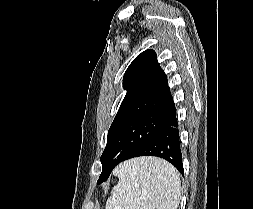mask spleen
I'll list each match as a JSON object with an SVG mask.
<instances>
[{"mask_svg":"<svg viewBox=\"0 0 253 209\" xmlns=\"http://www.w3.org/2000/svg\"><path fill=\"white\" fill-rule=\"evenodd\" d=\"M119 178L106 209H177L181 183L177 170L165 160L139 157L114 170Z\"/></svg>","mask_w":253,"mask_h":209,"instance_id":"obj_1","label":"spleen"}]
</instances>
